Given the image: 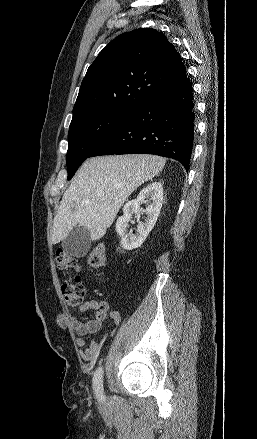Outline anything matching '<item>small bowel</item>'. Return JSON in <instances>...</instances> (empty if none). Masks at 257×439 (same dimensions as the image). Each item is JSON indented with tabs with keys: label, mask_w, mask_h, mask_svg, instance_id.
I'll list each match as a JSON object with an SVG mask.
<instances>
[{
	"label": "small bowel",
	"mask_w": 257,
	"mask_h": 439,
	"mask_svg": "<svg viewBox=\"0 0 257 439\" xmlns=\"http://www.w3.org/2000/svg\"><path fill=\"white\" fill-rule=\"evenodd\" d=\"M81 312L94 311V317L86 322H82L77 318H71L70 324L75 332L78 334L76 340L77 345L82 349L81 356L86 361H93L99 354L101 344L96 341H91L86 345L83 336L87 334L97 333L102 329L103 323L108 315L116 324L120 320V315L116 311H110L109 304L106 301H99L91 299L80 306Z\"/></svg>",
	"instance_id": "1"
}]
</instances>
